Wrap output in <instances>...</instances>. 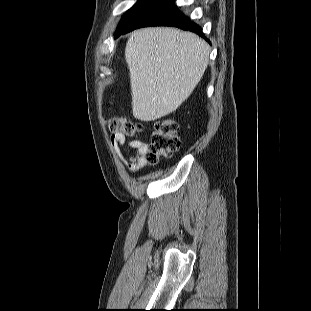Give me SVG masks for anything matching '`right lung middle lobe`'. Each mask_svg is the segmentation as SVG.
I'll return each instance as SVG.
<instances>
[{
  "mask_svg": "<svg viewBox=\"0 0 311 311\" xmlns=\"http://www.w3.org/2000/svg\"><path fill=\"white\" fill-rule=\"evenodd\" d=\"M159 0H139L126 14L122 17L117 28L116 37H118L123 30L145 9L154 5Z\"/></svg>",
  "mask_w": 311,
  "mask_h": 311,
  "instance_id": "dd1d6c3e",
  "label": "right lung middle lobe"
}]
</instances>
